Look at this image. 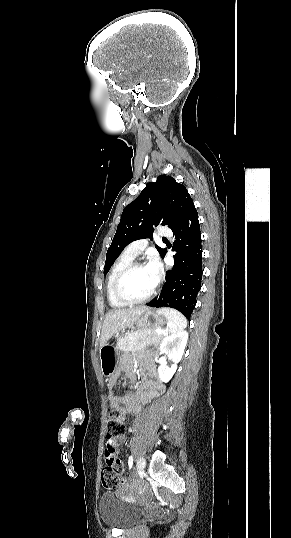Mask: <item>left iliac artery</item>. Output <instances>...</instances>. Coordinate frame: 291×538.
<instances>
[{
	"instance_id": "left-iliac-artery-1",
	"label": "left iliac artery",
	"mask_w": 291,
	"mask_h": 538,
	"mask_svg": "<svg viewBox=\"0 0 291 538\" xmlns=\"http://www.w3.org/2000/svg\"><path fill=\"white\" fill-rule=\"evenodd\" d=\"M128 465H129V468L131 469L132 465H133V456L132 455L129 457Z\"/></svg>"
}]
</instances>
